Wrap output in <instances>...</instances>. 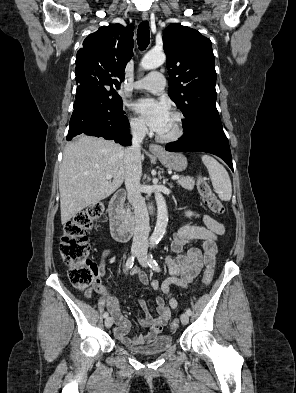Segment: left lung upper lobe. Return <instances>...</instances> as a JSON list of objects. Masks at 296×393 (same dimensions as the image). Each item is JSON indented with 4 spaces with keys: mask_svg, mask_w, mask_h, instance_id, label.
Instances as JSON below:
<instances>
[{
    "mask_svg": "<svg viewBox=\"0 0 296 393\" xmlns=\"http://www.w3.org/2000/svg\"><path fill=\"white\" fill-rule=\"evenodd\" d=\"M163 48L171 77L169 96L185 116L184 129L201 117L219 115L210 39L190 27L171 24L164 31Z\"/></svg>",
    "mask_w": 296,
    "mask_h": 393,
    "instance_id": "left-lung-upper-lobe-1",
    "label": "left lung upper lobe"
}]
</instances>
